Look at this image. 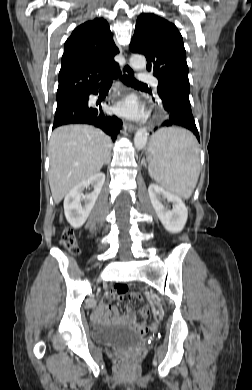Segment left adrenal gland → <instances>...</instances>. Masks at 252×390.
Returning a JSON list of instances; mask_svg holds the SVG:
<instances>
[{
    "instance_id": "obj_1",
    "label": "left adrenal gland",
    "mask_w": 252,
    "mask_h": 390,
    "mask_svg": "<svg viewBox=\"0 0 252 390\" xmlns=\"http://www.w3.org/2000/svg\"><path fill=\"white\" fill-rule=\"evenodd\" d=\"M142 162H143L144 166H146L145 159H143Z\"/></svg>"
}]
</instances>
